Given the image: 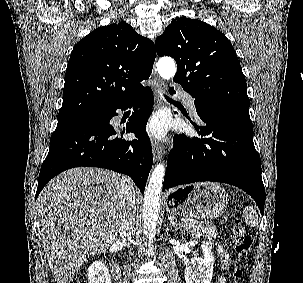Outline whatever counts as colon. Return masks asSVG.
Instances as JSON below:
<instances>
[{"label":"colon","instance_id":"5ec220e1","mask_svg":"<svg viewBox=\"0 0 303 283\" xmlns=\"http://www.w3.org/2000/svg\"><path fill=\"white\" fill-rule=\"evenodd\" d=\"M230 241L238 260H246L251 250L252 241L239 219H234L232 222ZM233 277V283H241L242 271L236 270Z\"/></svg>","mask_w":303,"mask_h":283}]
</instances>
